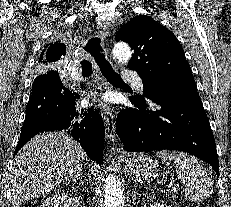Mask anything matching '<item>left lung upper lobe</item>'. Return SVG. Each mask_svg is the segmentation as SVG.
I'll list each match as a JSON object with an SVG mask.
<instances>
[{"label":"left lung upper lobe","instance_id":"obj_1","mask_svg":"<svg viewBox=\"0 0 231 207\" xmlns=\"http://www.w3.org/2000/svg\"><path fill=\"white\" fill-rule=\"evenodd\" d=\"M116 41L129 43L133 56L128 68L143 80L147 98H176L197 93L194 77L175 35L147 15H139L123 25ZM144 101V97L135 96Z\"/></svg>","mask_w":231,"mask_h":207}]
</instances>
